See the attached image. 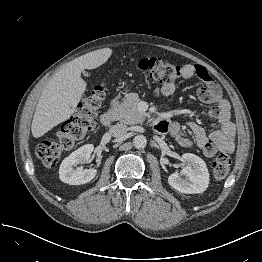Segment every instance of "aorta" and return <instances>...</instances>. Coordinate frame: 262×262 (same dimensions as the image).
Here are the masks:
<instances>
[{
    "instance_id": "762f6f07",
    "label": "aorta",
    "mask_w": 262,
    "mask_h": 262,
    "mask_svg": "<svg viewBox=\"0 0 262 262\" xmlns=\"http://www.w3.org/2000/svg\"><path fill=\"white\" fill-rule=\"evenodd\" d=\"M133 145L136 149H143L147 145V139L144 135H136L133 139Z\"/></svg>"
}]
</instances>
